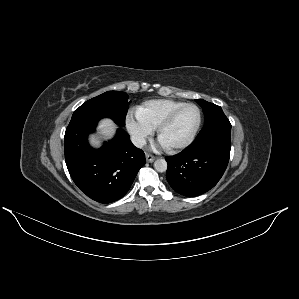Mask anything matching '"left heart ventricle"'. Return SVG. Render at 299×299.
I'll return each mask as SVG.
<instances>
[{"label": "left heart ventricle", "mask_w": 299, "mask_h": 299, "mask_svg": "<svg viewBox=\"0 0 299 299\" xmlns=\"http://www.w3.org/2000/svg\"><path fill=\"white\" fill-rule=\"evenodd\" d=\"M198 121V112L194 107L182 109L161 134V141L166 146L185 141L193 132Z\"/></svg>", "instance_id": "1"}]
</instances>
